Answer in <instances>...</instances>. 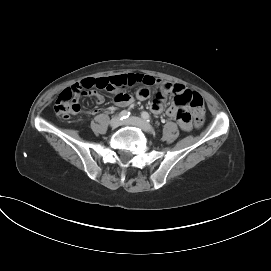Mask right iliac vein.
Listing matches in <instances>:
<instances>
[{"label":"right iliac vein","mask_w":271,"mask_h":271,"mask_svg":"<svg viewBox=\"0 0 271 271\" xmlns=\"http://www.w3.org/2000/svg\"><path fill=\"white\" fill-rule=\"evenodd\" d=\"M122 124V121L119 116H115L110 121V126L113 128H117Z\"/></svg>","instance_id":"1"}]
</instances>
